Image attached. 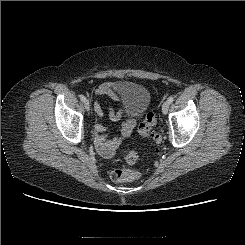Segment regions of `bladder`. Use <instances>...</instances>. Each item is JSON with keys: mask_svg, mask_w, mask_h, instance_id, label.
I'll use <instances>...</instances> for the list:
<instances>
[{"mask_svg": "<svg viewBox=\"0 0 245 245\" xmlns=\"http://www.w3.org/2000/svg\"><path fill=\"white\" fill-rule=\"evenodd\" d=\"M126 109L133 113H144L150 103L149 90L138 83H126L121 95Z\"/></svg>", "mask_w": 245, "mask_h": 245, "instance_id": "1", "label": "bladder"}]
</instances>
